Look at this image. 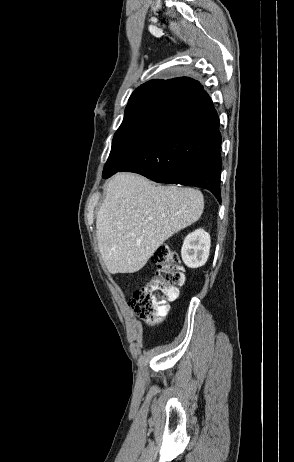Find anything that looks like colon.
<instances>
[{"label": "colon", "mask_w": 294, "mask_h": 462, "mask_svg": "<svg viewBox=\"0 0 294 462\" xmlns=\"http://www.w3.org/2000/svg\"><path fill=\"white\" fill-rule=\"evenodd\" d=\"M156 266L153 275L137 289L129 306L135 316L148 324L164 318L168 311L167 301L175 300L184 283V269L178 256L167 246H160L153 254Z\"/></svg>", "instance_id": "colon-1"}]
</instances>
